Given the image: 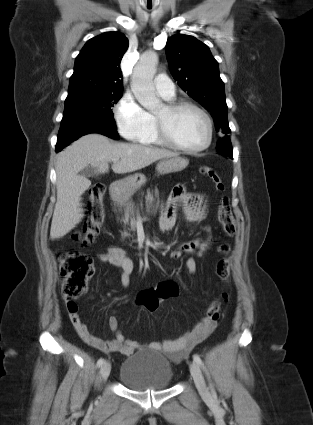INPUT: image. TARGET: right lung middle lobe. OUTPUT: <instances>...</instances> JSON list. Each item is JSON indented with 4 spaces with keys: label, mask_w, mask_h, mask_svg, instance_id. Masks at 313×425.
<instances>
[{
    "label": "right lung middle lobe",
    "mask_w": 313,
    "mask_h": 425,
    "mask_svg": "<svg viewBox=\"0 0 313 425\" xmlns=\"http://www.w3.org/2000/svg\"><path fill=\"white\" fill-rule=\"evenodd\" d=\"M121 97L122 91L79 92L68 94L65 100L64 113L70 110H79L113 118L111 107H113Z\"/></svg>",
    "instance_id": "dd1d6c3e"
}]
</instances>
